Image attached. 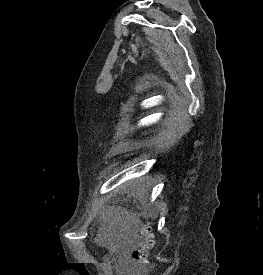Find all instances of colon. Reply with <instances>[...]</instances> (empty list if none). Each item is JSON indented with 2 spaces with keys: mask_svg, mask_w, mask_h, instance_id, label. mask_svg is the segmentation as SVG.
<instances>
[{
  "mask_svg": "<svg viewBox=\"0 0 263 275\" xmlns=\"http://www.w3.org/2000/svg\"><path fill=\"white\" fill-rule=\"evenodd\" d=\"M131 254L123 271L124 275H146L149 251L152 247V233L149 226L133 221L130 226Z\"/></svg>",
  "mask_w": 263,
  "mask_h": 275,
  "instance_id": "colon-1",
  "label": "colon"
}]
</instances>
